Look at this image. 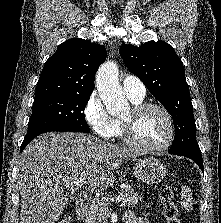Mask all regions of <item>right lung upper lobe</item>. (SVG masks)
Listing matches in <instances>:
<instances>
[{
	"mask_svg": "<svg viewBox=\"0 0 221 223\" xmlns=\"http://www.w3.org/2000/svg\"><path fill=\"white\" fill-rule=\"evenodd\" d=\"M106 48L89 40L72 38L50 57L37 83L35 99L49 96L91 94L95 74L106 59Z\"/></svg>",
	"mask_w": 221,
	"mask_h": 223,
	"instance_id": "obj_1",
	"label": "right lung upper lobe"
}]
</instances>
